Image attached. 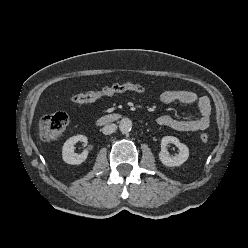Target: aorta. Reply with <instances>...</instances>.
Listing matches in <instances>:
<instances>
[{
    "instance_id": "aorta-1",
    "label": "aorta",
    "mask_w": 248,
    "mask_h": 248,
    "mask_svg": "<svg viewBox=\"0 0 248 248\" xmlns=\"http://www.w3.org/2000/svg\"><path fill=\"white\" fill-rule=\"evenodd\" d=\"M119 129L122 133H128L132 129V121L129 118L121 119L119 123Z\"/></svg>"
}]
</instances>
